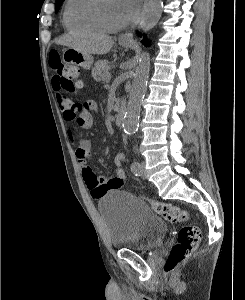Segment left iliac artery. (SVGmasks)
<instances>
[{"label": "left iliac artery", "instance_id": "44dca946", "mask_svg": "<svg viewBox=\"0 0 245 300\" xmlns=\"http://www.w3.org/2000/svg\"><path fill=\"white\" fill-rule=\"evenodd\" d=\"M131 170L136 176H139L141 172L139 162H133L131 164Z\"/></svg>", "mask_w": 245, "mask_h": 300}]
</instances>
